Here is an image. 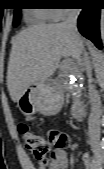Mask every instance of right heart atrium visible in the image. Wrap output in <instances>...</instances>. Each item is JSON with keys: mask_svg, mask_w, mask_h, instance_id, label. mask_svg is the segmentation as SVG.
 I'll list each match as a JSON object with an SVG mask.
<instances>
[{"mask_svg": "<svg viewBox=\"0 0 104 169\" xmlns=\"http://www.w3.org/2000/svg\"><path fill=\"white\" fill-rule=\"evenodd\" d=\"M54 12V20H64L67 17H69L71 14H73L74 9H68V8H57L52 9Z\"/></svg>", "mask_w": 104, "mask_h": 169, "instance_id": "obj_1", "label": "right heart atrium"}]
</instances>
